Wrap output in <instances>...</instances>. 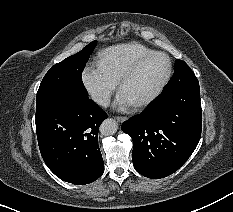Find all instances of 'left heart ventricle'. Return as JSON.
<instances>
[{"mask_svg": "<svg viewBox=\"0 0 233 212\" xmlns=\"http://www.w3.org/2000/svg\"><path fill=\"white\" fill-rule=\"evenodd\" d=\"M167 59L156 55L149 58L138 72L124 85L122 92L133 103L147 97L161 82L167 72Z\"/></svg>", "mask_w": 233, "mask_h": 212, "instance_id": "1", "label": "left heart ventricle"}]
</instances>
